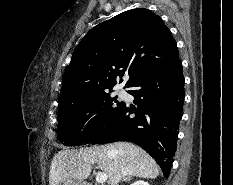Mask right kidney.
I'll return each instance as SVG.
<instances>
[{
    "label": "right kidney",
    "mask_w": 233,
    "mask_h": 185,
    "mask_svg": "<svg viewBox=\"0 0 233 185\" xmlns=\"http://www.w3.org/2000/svg\"><path fill=\"white\" fill-rule=\"evenodd\" d=\"M131 185H149V184H148V182H145L143 180H138Z\"/></svg>",
    "instance_id": "ca27d5eb"
}]
</instances>
